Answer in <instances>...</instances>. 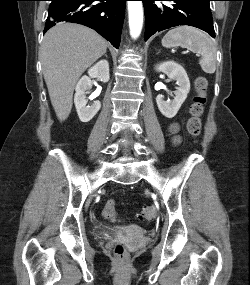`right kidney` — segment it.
<instances>
[{"mask_svg":"<svg viewBox=\"0 0 250 285\" xmlns=\"http://www.w3.org/2000/svg\"><path fill=\"white\" fill-rule=\"evenodd\" d=\"M92 78H97L102 82L109 81V63L107 60L97 62L88 70V76H83L76 85L74 103L82 122H89L101 108L100 101H94L90 106H87L86 94L92 86Z\"/></svg>","mask_w":250,"mask_h":285,"instance_id":"1","label":"right kidney"}]
</instances>
